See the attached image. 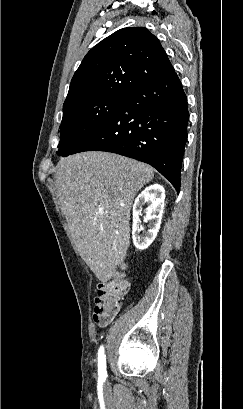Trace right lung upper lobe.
I'll use <instances>...</instances> for the list:
<instances>
[{"label":"right lung upper lobe","instance_id":"obj_1","mask_svg":"<svg viewBox=\"0 0 243 409\" xmlns=\"http://www.w3.org/2000/svg\"><path fill=\"white\" fill-rule=\"evenodd\" d=\"M172 72L156 36L144 27L123 28L87 53L71 80L63 108L92 99L127 97Z\"/></svg>","mask_w":243,"mask_h":409}]
</instances>
